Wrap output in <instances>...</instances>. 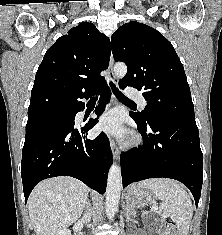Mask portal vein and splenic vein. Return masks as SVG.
<instances>
[{
    "label": "portal vein and splenic vein",
    "instance_id": "1",
    "mask_svg": "<svg viewBox=\"0 0 222 235\" xmlns=\"http://www.w3.org/2000/svg\"><path fill=\"white\" fill-rule=\"evenodd\" d=\"M154 209H158V207H157V206H155V207H154Z\"/></svg>",
    "mask_w": 222,
    "mask_h": 235
}]
</instances>
